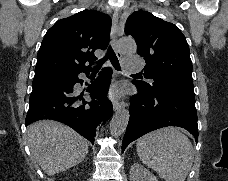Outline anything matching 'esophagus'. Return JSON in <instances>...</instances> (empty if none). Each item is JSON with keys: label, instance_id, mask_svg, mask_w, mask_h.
<instances>
[{"label": "esophagus", "instance_id": "1", "mask_svg": "<svg viewBox=\"0 0 228 181\" xmlns=\"http://www.w3.org/2000/svg\"><path fill=\"white\" fill-rule=\"evenodd\" d=\"M122 30H123V26L119 23V11L115 10L114 14H113V17H112L113 48H114L118 58L122 57V53L119 52V50L117 48V38H118V34ZM124 106H125L124 101H115L113 103L114 111H118L121 108H124Z\"/></svg>", "mask_w": 228, "mask_h": 181}]
</instances>
